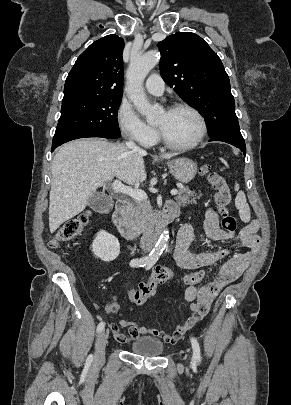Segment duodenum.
I'll return each instance as SVG.
<instances>
[{
    "instance_id": "duodenum-1",
    "label": "duodenum",
    "mask_w": 291,
    "mask_h": 405,
    "mask_svg": "<svg viewBox=\"0 0 291 405\" xmlns=\"http://www.w3.org/2000/svg\"><path fill=\"white\" fill-rule=\"evenodd\" d=\"M131 212V202L127 199H120L117 202L116 209L113 214L114 225L124 239L128 241L137 240V235L133 231V228L129 221V215ZM178 214V210L175 206L167 205L160 215L157 225L146 235L140 238V244L144 248H150L156 241L164 225L172 221Z\"/></svg>"
}]
</instances>
